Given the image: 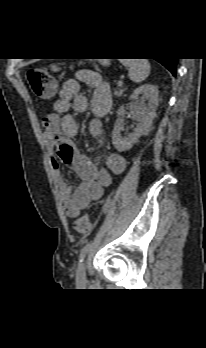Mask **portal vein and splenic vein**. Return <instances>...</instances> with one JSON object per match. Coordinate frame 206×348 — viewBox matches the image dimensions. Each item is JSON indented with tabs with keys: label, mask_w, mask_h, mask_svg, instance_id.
<instances>
[{
	"label": "portal vein and splenic vein",
	"mask_w": 206,
	"mask_h": 348,
	"mask_svg": "<svg viewBox=\"0 0 206 348\" xmlns=\"http://www.w3.org/2000/svg\"><path fill=\"white\" fill-rule=\"evenodd\" d=\"M118 85H119V86L123 85V81L120 80V81L118 82Z\"/></svg>",
	"instance_id": "portal-vein-and-splenic-vein-1"
}]
</instances>
